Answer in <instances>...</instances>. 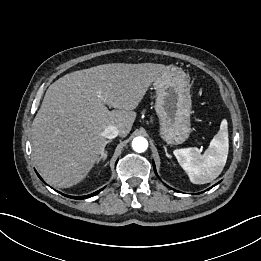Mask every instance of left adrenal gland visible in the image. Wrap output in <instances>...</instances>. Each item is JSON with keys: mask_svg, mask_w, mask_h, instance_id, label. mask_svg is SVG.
Masks as SVG:
<instances>
[{"mask_svg": "<svg viewBox=\"0 0 261 261\" xmlns=\"http://www.w3.org/2000/svg\"><path fill=\"white\" fill-rule=\"evenodd\" d=\"M164 149H165L166 156L170 158L171 156L167 153L166 147H164Z\"/></svg>", "mask_w": 261, "mask_h": 261, "instance_id": "left-adrenal-gland-1", "label": "left adrenal gland"}]
</instances>
